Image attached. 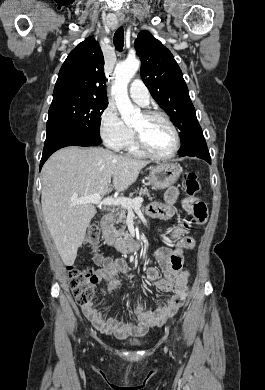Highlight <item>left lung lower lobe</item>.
<instances>
[{
    "mask_svg": "<svg viewBox=\"0 0 265 390\" xmlns=\"http://www.w3.org/2000/svg\"><path fill=\"white\" fill-rule=\"evenodd\" d=\"M181 156L198 157L211 164V158L205 139L199 141L191 150Z\"/></svg>",
    "mask_w": 265,
    "mask_h": 390,
    "instance_id": "0a47b994",
    "label": "left lung lower lobe"
}]
</instances>
